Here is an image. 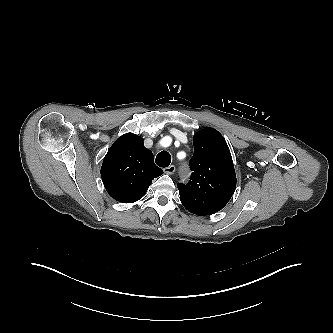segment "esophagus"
Segmentation results:
<instances>
[{"label": "esophagus", "instance_id": "34e87169", "mask_svg": "<svg viewBox=\"0 0 333 333\" xmlns=\"http://www.w3.org/2000/svg\"><path fill=\"white\" fill-rule=\"evenodd\" d=\"M175 170H176V167L174 165H170L169 167H166L163 169L164 173L169 174V175L173 174L175 172Z\"/></svg>", "mask_w": 333, "mask_h": 333}]
</instances>
